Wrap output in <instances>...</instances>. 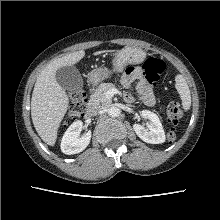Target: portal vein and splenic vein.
<instances>
[{
  "label": "portal vein and splenic vein",
  "instance_id": "1",
  "mask_svg": "<svg viewBox=\"0 0 220 220\" xmlns=\"http://www.w3.org/2000/svg\"><path fill=\"white\" fill-rule=\"evenodd\" d=\"M117 92H118L117 89L108 90V91L106 92V97H107V98H112V97L114 96V94H116Z\"/></svg>",
  "mask_w": 220,
  "mask_h": 220
}]
</instances>
